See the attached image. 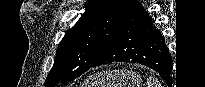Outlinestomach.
<instances>
[{
	"mask_svg": "<svg viewBox=\"0 0 205 87\" xmlns=\"http://www.w3.org/2000/svg\"><path fill=\"white\" fill-rule=\"evenodd\" d=\"M141 76L131 70L99 72L84 83V87H140Z\"/></svg>",
	"mask_w": 205,
	"mask_h": 87,
	"instance_id": "0dacf381",
	"label": "stomach"
}]
</instances>
